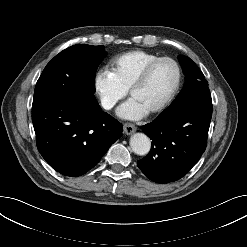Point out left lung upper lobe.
Returning <instances> with one entry per match:
<instances>
[{"mask_svg":"<svg viewBox=\"0 0 247 247\" xmlns=\"http://www.w3.org/2000/svg\"><path fill=\"white\" fill-rule=\"evenodd\" d=\"M178 58L182 66L183 73L186 76V83L183 90L177 96L175 101L172 102L169 108L178 106L200 90L209 89L208 82L205 80L203 73L196 66V64L189 57L184 55H180Z\"/></svg>","mask_w":247,"mask_h":247,"instance_id":"obj_1","label":"left lung upper lobe"}]
</instances>
